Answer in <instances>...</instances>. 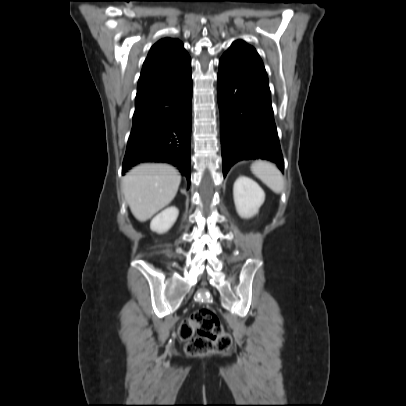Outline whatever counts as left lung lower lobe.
<instances>
[{"mask_svg": "<svg viewBox=\"0 0 406 406\" xmlns=\"http://www.w3.org/2000/svg\"><path fill=\"white\" fill-rule=\"evenodd\" d=\"M217 96L224 177L236 162L248 159L270 160L283 171L263 63L244 53L226 51L219 63Z\"/></svg>", "mask_w": 406, "mask_h": 406, "instance_id": "0a47b994", "label": "left lung lower lobe"}]
</instances>
